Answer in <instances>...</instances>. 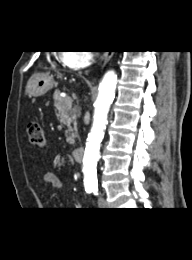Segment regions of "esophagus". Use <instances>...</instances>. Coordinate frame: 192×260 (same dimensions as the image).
Masks as SVG:
<instances>
[{
    "instance_id": "34e87169",
    "label": "esophagus",
    "mask_w": 192,
    "mask_h": 260,
    "mask_svg": "<svg viewBox=\"0 0 192 260\" xmlns=\"http://www.w3.org/2000/svg\"><path fill=\"white\" fill-rule=\"evenodd\" d=\"M112 55H113V53H109V52L105 53L103 55V59H102L103 60V64H105L112 57Z\"/></svg>"
}]
</instances>
